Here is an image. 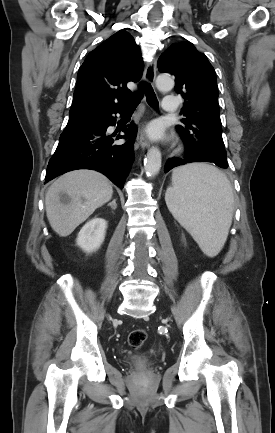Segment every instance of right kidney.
<instances>
[{"label": "right kidney", "instance_id": "right-kidney-1", "mask_svg": "<svg viewBox=\"0 0 275 433\" xmlns=\"http://www.w3.org/2000/svg\"><path fill=\"white\" fill-rule=\"evenodd\" d=\"M106 228L107 222L103 218L89 220L78 233L76 244L87 253L95 252L105 239Z\"/></svg>", "mask_w": 275, "mask_h": 433}]
</instances>
